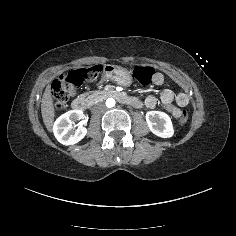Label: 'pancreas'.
I'll list each match as a JSON object with an SVG mask.
<instances>
[{
  "instance_id": "1",
  "label": "pancreas",
  "mask_w": 236,
  "mask_h": 236,
  "mask_svg": "<svg viewBox=\"0 0 236 236\" xmlns=\"http://www.w3.org/2000/svg\"><path fill=\"white\" fill-rule=\"evenodd\" d=\"M88 104H93L96 101H102L108 97L107 91H91L82 95Z\"/></svg>"
}]
</instances>
